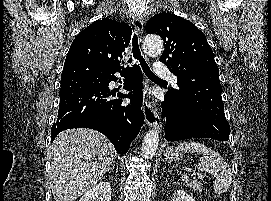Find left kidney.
<instances>
[{
    "instance_id": "1",
    "label": "left kidney",
    "mask_w": 271,
    "mask_h": 201,
    "mask_svg": "<svg viewBox=\"0 0 271 201\" xmlns=\"http://www.w3.org/2000/svg\"><path fill=\"white\" fill-rule=\"evenodd\" d=\"M172 201H195V199L183 190H177Z\"/></svg>"
}]
</instances>
